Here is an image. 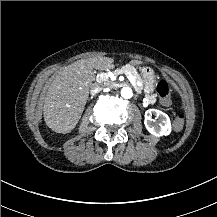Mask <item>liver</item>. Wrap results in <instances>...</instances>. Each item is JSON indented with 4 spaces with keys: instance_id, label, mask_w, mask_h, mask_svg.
Wrapping results in <instances>:
<instances>
[{
    "instance_id": "1",
    "label": "liver",
    "mask_w": 217,
    "mask_h": 217,
    "mask_svg": "<svg viewBox=\"0 0 217 217\" xmlns=\"http://www.w3.org/2000/svg\"><path fill=\"white\" fill-rule=\"evenodd\" d=\"M109 57L78 60L62 68L48 88L43 115L46 125L56 133H70L81 118L92 82L93 69L108 70L114 67ZM131 65L142 64L132 60Z\"/></svg>"
}]
</instances>
